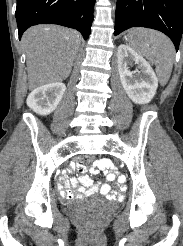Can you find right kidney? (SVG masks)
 <instances>
[{"label":"right kidney","instance_id":"right-kidney-1","mask_svg":"<svg viewBox=\"0 0 183 246\" xmlns=\"http://www.w3.org/2000/svg\"><path fill=\"white\" fill-rule=\"evenodd\" d=\"M65 90L66 86L61 82L40 86L29 94L27 105L39 115H49L58 106Z\"/></svg>","mask_w":183,"mask_h":246}]
</instances>
